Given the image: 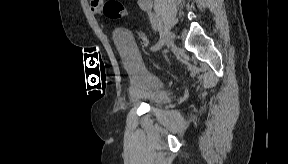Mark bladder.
Returning <instances> with one entry per match:
<instances>
[{
  "instance_id": "obj_1",
  "label": "bladder",
  "mask_w": 288,
  "mask_h": 164,
  "mask_svg": "<svg viewBox=\"0 0 288 164\" xmlns=\"http://www.w3.org/2000/svg\"><path fill=\"white\" fill-rule=\"evenodd\" d=\"M116 45L130 78V99L152 107L165 104L169 91L164 78L144 64L139 52L124 34H118Z\"/></svg>"
}]
</instances>
